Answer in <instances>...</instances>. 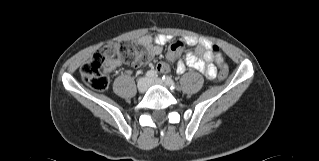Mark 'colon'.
<instances>
[{"label": "colon", "instance_id": "colon-1", "mask_svg": "<svg viewBox=\"0 0 319 161\" xmlns=\"http://www.w3.org/2000/svg\"><path fill=\"white\" fill-rule=\"evenodd\" d=\"M172 50L178 52L182 44H173ZM214 51L219 55L220 51L214 47ZM120 59L129 64H147L149 52L143 46L132 41H114L97 51L92 57L82 65L80 76L83 82L94 90H104L109 84V71L115 59ZM227 78V71L222 68L218 74V79L223 81Z\"/></svg>", "mask_w": 319, "mask_h": 161}]
</instances>
